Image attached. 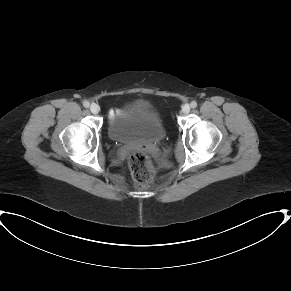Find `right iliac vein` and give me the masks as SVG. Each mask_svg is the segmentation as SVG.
Returning a JSON list of instances; mask_svg holds the SVG:
<instances>
[{"instance_id": "1", "label": "right iliac vein", "mask_w": 291, "mask_h": 291, "mask_svg": "<svg viewBox=\"0 0 291 291\" xmlns=\"http://www.w3.org/2000/svg\"><path fill=\"white\" fill-rule=\"evenodd\" d=\"M90 111L93 113V114H98L100 112V106L98 104H91L90 106Z\"/></svg>"}]
</instances>
